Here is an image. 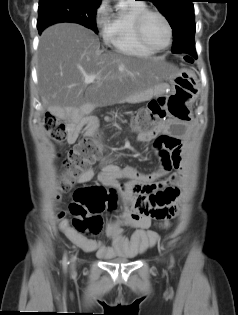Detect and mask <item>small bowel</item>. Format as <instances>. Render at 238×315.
<instances>
[{"label":"small bowel","mask_w":238,"mask_h":315,"mask_svg":"<svg viewBox=\"0 0 238 315\" xmlns=\"http://www.w3.org/2000/svg\"><path fill=\"white\" fill-rule=\"evenodd\" d=\"M96 126L97 122L93 119H72L68 141L74 143L82 127L92 132ZM164 132V127H158L138 132L136 137L139 143L149 142L150 147H155L159 167L152 172H140L132 166H118L108 155L100 159L98 180L115 188L123 205V211L106 228V234L111 238L110 245L77 233L63 213L58 214L61 231L77 247L96 252L100 258L111 259L137 256L157 242L158 234L149 229L151 222L153 219L160 220L167 227L176 216L178 206L172 202L178 196L177 185L184 179L183 141L168 136L156 137ZM172 170L175 172L169 174ZM94 175L92 168L85 169L74 178V182L88 183ZM125 226L135 228L130 238L125 236Z\"/></svg>","instance_id":"1"}]
</instances>
